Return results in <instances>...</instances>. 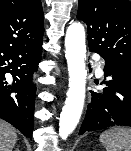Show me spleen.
Masks as SVG:
<instances>
[{
	"instance_id": "3e777b00",
	"label": "spleen",
	"mask_w": 131,
	"mask_h": 151,
	"mask_svg": "<svg viewBox=\"0 0 131 151\" xmlns=\"http://www.w3.org/2000/svg\"><path fill=\"white\" fill-rule=\"evenodd\" d=\"M106 151H131V129L116 127L105 130L99 138Z\"/></svg>"
}]
</instances>
